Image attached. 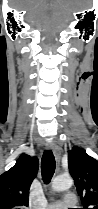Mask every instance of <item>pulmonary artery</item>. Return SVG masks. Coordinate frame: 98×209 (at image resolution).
Returning a JSON list of instances; mask_svg holds the SVG:
<instances>
[{
  "label": "pulmonary artery",
  "mask_w": 98,
  "mask_h": 209,
  "mask_svg": "<svg viewBox=\"0 0 98 209\" xmlns=\"http://www.w3.org/2000/svg\"><path fill=\"white\" fill-rule=\"evenodd\" d=\"M76 204V195L73 192H68L64 195L62 201L50 203L46 209H67L68 207H74Z\"/></svg>",
  "instance_id": "1"
}]
</instances>
